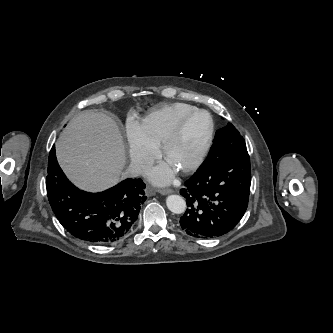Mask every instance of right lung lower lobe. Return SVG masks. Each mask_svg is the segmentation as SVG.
<instances>
[{"instance_id": "obj_1", "label": "right lung lower lobe", "mask_w": 333, "mask_h": 333, "mask_svg": "<svg viewBox=\"0 0 333 333\" xmlns=\"http://www.w3.org/2000/svg\"><path fill=\"white\" fill-rule=\"evenodd\" d=\"M46 189L51 208L75 238L92 244H110L126 235L146 200L141 179H126L99 193L79 190L58 165L53 146L48 160Z\"/></svg>"}]
</instances>
